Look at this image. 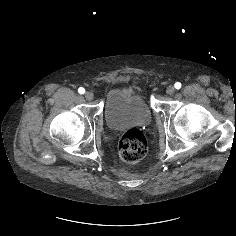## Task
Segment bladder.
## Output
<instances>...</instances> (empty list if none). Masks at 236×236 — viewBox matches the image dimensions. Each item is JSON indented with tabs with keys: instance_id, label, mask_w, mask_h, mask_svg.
<instances>
[{
	"instance_id": "bladder-1",
	"label": "bladder",
	"mask_w": 236,
	"mask_h": 236,
	"mask_svg": "<svg viewBox=\"0 0 236 236\" xmlns=\"http://www.w3.org/2000/svg\"><path fill=\"white\" fill-rule=\"evenodd\" d=\"M152 116V108L145 96L129 88L113 90L104 105L105 122L114 130L129 124L147 125Z\"/></svg>"
}]
</instances>
